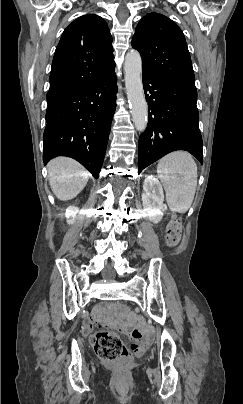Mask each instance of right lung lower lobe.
<instances>
[{
	"mask_svg": "<svg viewBox=\"0 0 243 404\" xmlns=\"http://www.w3.org/2000/svg\"><path fill=\"white\" fill-rule=\"evenodd\" d=\"M116 74L82 88L47 98L43 161L68 156L97 179L116 107Z\"/></svg>",
	"mask_w": 243,
	"mask_h": 404,
	"instance_id": "98d812e1",
	"label": "right lung lower lobe"
}]
</instances>
